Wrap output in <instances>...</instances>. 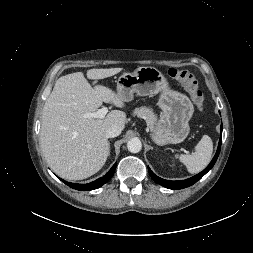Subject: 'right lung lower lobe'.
<instances>
[{
    "label": "right lung lower lobe",
    "instance_id": "obj_1",
    "mask_svg": "<svg viewBox=\"0 0 253 253\" xmlns=\"http://www.w3.org/2000/svg\"><path fill=\"white\" fill-rule=\"evenodd\" d=\"M115 168H116V164L107 172L106 175H104L103 177H101L93 182L87 183V184L70 183V182H66L64 180H62V181L65 184H67L69 187L76 189V190H84V191L94 190V189L101 187L102 185H104L106 182H108L111 179V177L114 174Z\"/></svg>",
    "mask_w": 253,
    "mask_h": 253
}]
</instances>
